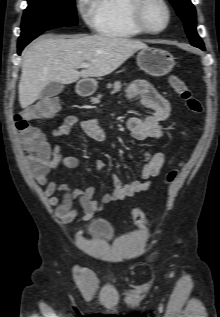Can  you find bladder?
Listing matches in <instances>:
<instances>
[{"mask_svg": "<svg viewBox=\"0 0 220 317\" xmlns=\"http://www.w3.org/2000/svg\"><path fill=\"white\" fill-rule=\"evenodd\" d=\"M112 234L111 224L104 219H95L84 229V235L88 238H106Z\"/></svg>", "mask_w": 220, "mask_h": 317, "instance_id": "31cf9c89", "label": "bladder"}]
</instances>
